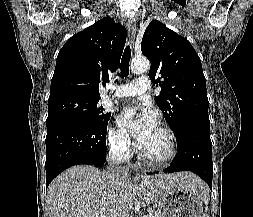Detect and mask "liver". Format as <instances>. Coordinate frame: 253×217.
Segmentation results:
<instances>
[{
  "label": "liver",
  "instance_id": "6515ba94",
  "mask_svg": "<svg viewBox=\"0 0 253 217\" xmlns=\"http://www.w3.org/2000/svg\"><path fill=\"white\" fill-rule=\"evenodd\" d=\"M141 179L138 185L136 178L113 179L93 166H73L48 187L52 217H127L137 196L147 203L157 202L164 190L178 186L206 193L205 183L190 172Z\"/></svg>",
  "mask_w": 253,
  "mask_h": 217
}]
</instances>
